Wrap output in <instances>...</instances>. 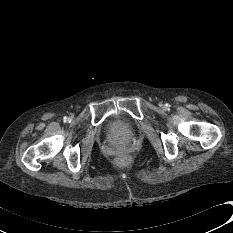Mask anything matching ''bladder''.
<instances>
[{"mask_svg": "<svg viewBox=\"0 0 233 233\" xmlns=\"http://www.w3.org/2000/svg\"><path fill=\"white\" fill-rule=\"evenodd\" d=\"M107 133L111 139L122 142L127 140L133 133L131 125L120 117L110 120L107 126Z\"/></svg>", "mask_w": 233, "mask_h": 233, "instance_id": "1", "label": "bladder"}]
</instances>
